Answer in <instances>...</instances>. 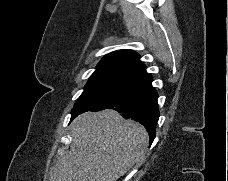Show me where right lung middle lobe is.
<instances>
[{"label": "right lung middle lobe", "instance_id": "1", "mask_svg": "<svg viewBox=\"0 0 228 181\" xmlns=\"http://www.w3.org/2000/svg\"><path fill=\"white\" fill-rule=\"evenodd\" d=\"M130 80L112 77H90L83 93L77 99L71 120L79 113L102 105L117 96Z\"/></svg>", "mask_w": 228, "mask_h": 181}]
</instances>
